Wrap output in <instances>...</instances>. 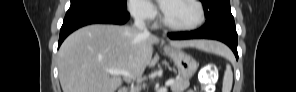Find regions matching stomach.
I'll list each match as a JSON object with an SVG mask.
<instances>
[{
	"mask_svg": "<svg viewBox=\"0 0 296 92\" xmlns=\"http://www.w3.org/2000/svg\"><path fill=\"white\" fill-rule=\"evenodd\" d=\"M165 53L174 61L183 79L189 80L197 71L199 65L196 60L180 48H166Z\"/></svg>",
	"mask_w": 296,
	"mask_h": 92,
	"instance_id": "obj_1",
	"label": "stomach"
}]
</instances>
